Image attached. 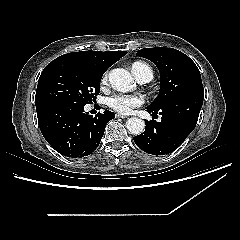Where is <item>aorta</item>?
Instances as JSON below:
<instances>
[{
  "label": "aorta",
  "mask_w": 240,
  "mask_h": 240,
  "mask_svg": "<svg viewBox=\"0 0 240 240\" xmlns=\"http://www.w3.org/2000/svg\"><path fill=\"white\" fill-rule=\"evenodd\" d=\"M109 82L115 90L120 92H127L135 86L130 72L122 68H115L110 71ZM126 127L131 134L139 135L145 129V123L140 118L131 117L126 121Z\"/></svg>",
  "instance_id": "aorta-1"
}]
</instances>
